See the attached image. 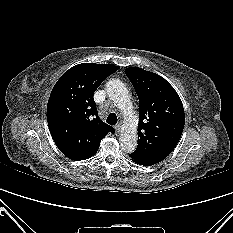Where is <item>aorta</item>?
<instances>
[{
	"label": "aorta",
	"instance_id": "762f6f07",
	"mask_svg": "<svg viewBox=\"0 0 233 233\" xmlns=\"http://www.w3.org/2000/svg\"><path fill=\"white\" fill-rule=\"evenodd\" d=\"M109 98L124 112L125 122L122 127L120 142L126 152H133L137 147V115L133 112L128 89L119 79H111L106 83Z\"/></svg>",
	"mask_w": 233,
	"mask_h": 233
}]
</instances>
